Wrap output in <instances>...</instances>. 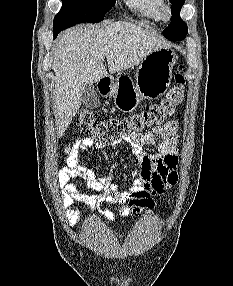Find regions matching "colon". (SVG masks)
Returning <instances> with one entry per match:
<instances>
[{"label": "colon", "mask_w": 233, "mask_h": 286, "mask_svg": "<svg viewBox=\"0 0 233 286\" xmlns=\"http://www.w3.org/2000/svg\"><path fill=\"white\" fill-rule=\"evenodd\" d=\"M175 81L176 85L169 90L165 98L130 116L106 119L96 111L81 109L76 119L77 126L89 137L103 143L120 142L125 138L141 134L144 129L163 123L183 103L185 84L183 66L178 67ZM150 201V194L147 191L137 193L129 201L132 214L145 209Z\"/></svg>", "instance_id": "colon-1"}]
</instances>
